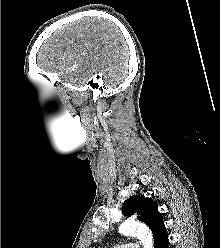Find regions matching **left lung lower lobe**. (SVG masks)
Returning a JSON list of instances; mask_svg holds the SVG:
<instances>
[{"label":"left lung lower lobe","mask_w":220,"mask_h":248,"mask_svg":"<svg viewBox=\"0 0 220 248\" xmlns=\"http://www.w3.org/2000/svg\"><path fill=\"white\" fill-rule=\"evenodd\" d=\"M169 239L166 233V228L164 227L159 236L156 238L154 243V248H168Z\"/></svg>","instance_id":"1"}]
</instances>
